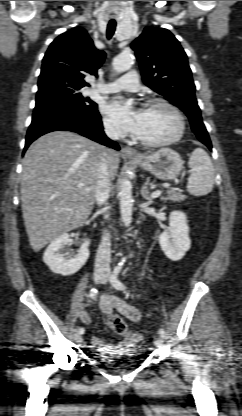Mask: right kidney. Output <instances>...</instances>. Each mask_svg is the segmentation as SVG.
Returning <instances> with one entry per match:
<instances>
[{
    "mask_svg": "<svg viewBox=\"0 0 242 416\" xmlns=\"http://www.w3.org/2000/svg\"><path fill=\"white\" fill-rule=\"evenodd\" d=\"M69 242L70 236L67 233H64L54 239L44 253V263L56 274H61L63 276L72 275L81 269L89 258V239L84 240L78 253L74 257L65 258L64 254H61L59 250Z\"/></svg>",
    "mask_w": 242,
    "mask_h": 416,
    "instance_id": "obj_1",
    "label": "right kidney"
}]
</instances>
